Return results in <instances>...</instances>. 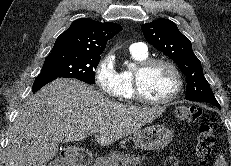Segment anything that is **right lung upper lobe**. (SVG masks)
<instances>
[{
  "mask_svg": "<svg viewBox=\"0 0 231 166\" xmlns=\"http://www.w3.org/2000/svg\"><path fill=\"white\" fill-rule=\"evenodd\" d=\"M121 30V25L117 23H101L89 18L78 19L57 38L52 51L70 50L100 55L107 41Z\"/></svg>",
  "mask_w": 231,
  "mask_h": 166,
  "instance_id": "cb5924a9",
  "label": "right lung upper lobe"
}]
</instances>
